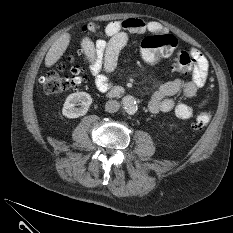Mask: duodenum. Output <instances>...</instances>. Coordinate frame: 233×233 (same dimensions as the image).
<instances>
[{"label": "duodenum", "mask_w": 233, "mask_h": 233, "mask_svg": "<svg viewBox=\"0 0 233 233\" xmlns=\"http://www.w3.org/2000/svg\"><path fill=\"white\" fill-rule=\"evenodd\" d=\"M122 93H123L122 89L116 87V88L111 89V90L109 91L108 95H109L110 97H117V96L121 95Z\"/></svg>", "instance_id": "obj_1"}]
</instances>
